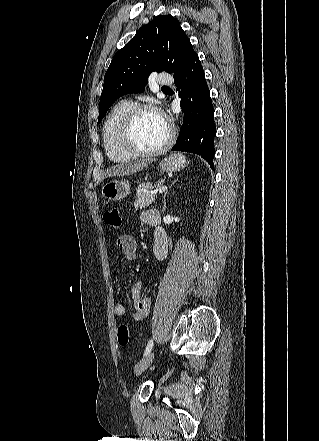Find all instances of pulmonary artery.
<instances>
[{"instance_id":"1","label":"pulmonary artery","mask_w":319,"mask_h":441,"mask_svg":"<svg viewBox=\"0 0 319 441\" xmlns=\"http://www.w3.org/2000/svg\"><path fill=\"white\" fill-rule=\"evenodd\" d=\"M172 82H173V79H172L171 75L168 73H161L157 77V83L160 86H168V85L172 84Z\"/></svg>"}]
</instances>
